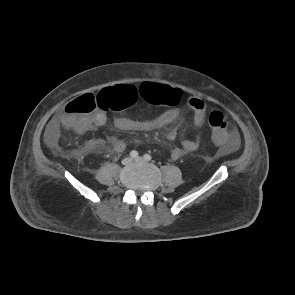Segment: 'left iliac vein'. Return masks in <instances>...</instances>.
<instances>
[{
    "label": "left iliac vein",
    "instance_id": "1",
    "mask_svg": "<svg viewBox=\"0 0 295 295\" xmlns=\"http://www.w3.org/2000/svg\"><path fill=\"white\" fill-rule=\"evenodd\" d=\"M135 161H136V162H142V161H144V159H143L142 157H137V158L135 159Z\"/></svg>",
    "mask_w": 295,
    "mask_h": 295
}]
</instances>
